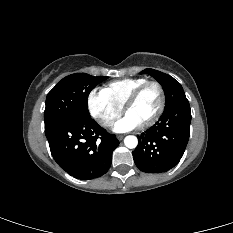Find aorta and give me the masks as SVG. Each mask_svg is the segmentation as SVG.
Instances as JSON below:
<instances>
[{
  "instance_id": "1",
  "label": "aorta",
  "mask_w": 233,
  "mask_h": 233,
  "mask_svg": "<svg viewBox=\"0 0 233 233\" xmlns=\"http://www.w3.org/2000/svg\"><path fill=\"white\" fill-rule=\"evenodd\" d=\"M124 144L127 148L133 149L137 146L138 139H137V137H135L133 135L126 136L124 138Z\"/></svg>"
}]
</instances>
